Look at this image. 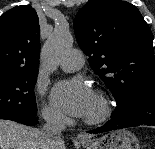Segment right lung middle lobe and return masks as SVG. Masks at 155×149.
Here are the masks:
<instances>
[{
    "mask_svg": "<svg viewBox=\"0 0 155 149\" xmlns=\"http://www.w3.org/2000/svg\"><path fill=\"white\" fill-rule=\"evenodd\" d=\"M37 75L38 71L0 70V118L26 122L36 114Z\"/></svg>",
    "mask_w": 155,
    "mask_h": 149,
    "instance_id": "obj_1",
    "label": "right lung middle lobe"
}]
</instances>
